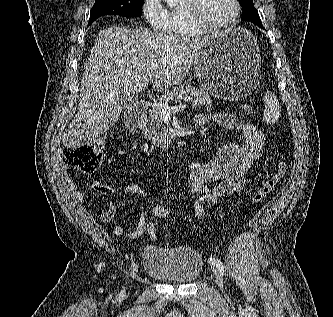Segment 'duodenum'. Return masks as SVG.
Here are the masks:
<instances>
[{
	"instance_id": "duodenum-1",
	"label": "duodenum",
	"mask_w": 333,
	"mask_h": 317,
	"mask_svg": "<svg viewBox=\"0 0 333 317\" xmlns=\"http://www.w3.org/2000/svg\"><path fill=\"white\" fill-rule=\"evenodd\" d=\"M150 101L145 100L133 107L125 116V126L132 133H138L144 123Z\"/></svg>"
}]
</instances>
